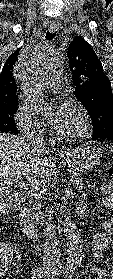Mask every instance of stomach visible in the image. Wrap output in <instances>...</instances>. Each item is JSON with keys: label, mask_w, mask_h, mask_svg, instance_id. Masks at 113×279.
Here are the masks:
<instances>
[{"label": "stomach", "mask_w": 113, "mask_h": 279, "mask_svg": "<svg viewBox=\"0 0 113 279\" xmlns=\"http://www.w3.org/2000/svg\"><path fill=\"white\" fill-rule=\"evenodd\" d=\"M68 167L75 171H84L100 165L102 154L93 145H82L76 147L62 156Z\"/></svg>", "instance_id": "obj_1"}]
</instances>
